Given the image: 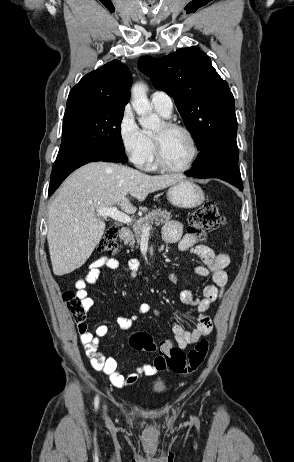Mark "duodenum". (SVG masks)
Returning a JSON list of instances; mask_svg holds the SVG:
<instances>
[{
  "instance_id": "obj_1",
  "label": "duodenum",
  "mask_w": 294,
  "mask_h": 462,
  "mask_svg": "<svg viewBox=\"0 0 294 462\" xmlns=\"http://www.w3.org/2000/svg\"><path fill=\"white\" fill-rule=\"evenodd\" d=\"M130 234H131V230L128 227H123L119 231V237L122 240H126L130 236Z\"/></svg>"
}]
</instances>
